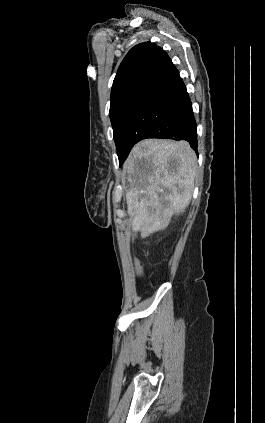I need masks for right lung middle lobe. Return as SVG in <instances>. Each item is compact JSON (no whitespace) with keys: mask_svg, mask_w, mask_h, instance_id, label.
<instances>
[{"mask_svg":"<svg viewBox=\"0 0 265 423\" xmlns=\"http://www.w3.org/2000/svg\"><path fill=\"white\" fill-rule=\"evenodd\" d=\"M147 94L148 93L143 92L133 93L110 105V119L120 166L127 158V155L121 145L123 131Z\"/></svg>","mask_w":265,"mask_h":423,"instance_id":"dd1d6c3e","label":"right lung middle lobe"}]
</instances>
